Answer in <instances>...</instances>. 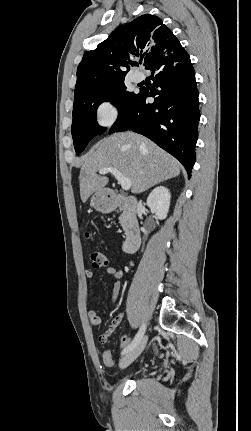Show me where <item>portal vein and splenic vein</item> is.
<instances>
[{
    "instance_id": "18ae733b",
    "label": "portal vein and splenic vein",
    "mask_w": 251,
    "mask_h": 431,
    "mask_svg": "<svg viewBox=\"0 0 251 431\" xmlns=\"http://www.w3.org/2000/svg\"><path fill=\"white\" fill-rule=\"evenodd\" d=\"M112 173L115 178L118 180V182L121 184V187L123 190L127 191L131 188V180L129 178H126L122 175L121 172H119L115 168L106 167L99 170L100 174H106V173Z\"/></svg>"
}]
</instances>
